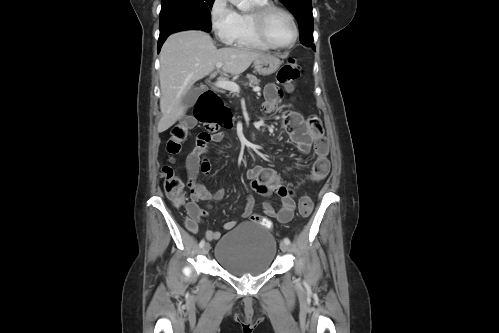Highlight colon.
I'll return each instance as SVG.
<instances>
[{"label": "colon", "mask_w": 499, "mask_h": 333, "mask_svg": "<svg viewBox=\"0 0 499 333\" xmlns=\"http://www.w3.org/2000/svg\"><path fill=\"white\" fill-rule=\"evenodd\" d=\"M299 75V66L294 60H290L279 69L277 73V80L279 83L284 84L291 89L293 83L298 79ZM212 100L216 114L212 120V124L207 125L206 127L211 131H217L221 126L230 121V111L223 105L221 99L215 93ZM194 125L195 120L189 118L173 126L166 143V151L169 155H175L180 152L182 144L187 138L189 129ZM161 176L164 180V191L167 197L176 204H181L184 200V184L174 170L172 158H170L162 167ZM312 210V199L309 196H303L299 200V214L302 217H307L311 214ZM188 212L189 218L187 220V225L188 227H193L196 225V219L199 216V213L197 210ZM250 219L267 229H271L273 226L272 222L268 218L258 214L251 215Z\"/></svg>", "instance_id": "5ec220e1"}]
</instances>
